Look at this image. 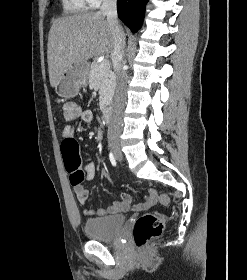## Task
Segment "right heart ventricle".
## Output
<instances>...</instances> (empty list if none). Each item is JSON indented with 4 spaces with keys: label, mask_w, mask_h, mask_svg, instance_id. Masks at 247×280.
Returning <instances> with one entry per match:
<instances>
[{
    "label": "right heart ventricle",
    "mask_w": 247,
    "mask_h": 280,
    "mask_svg": "<svg viewBox=\"0 0 247 280\" xmlns=\"http://www.w3.org/2000/svg\"><path fill=\"white\" fill-rule=\"evenodd\" d=\"M62 5L67 14L86 11L90 6L87 0H62Z\"/></svg>",
    "instance_id": "right-heart-ventricle-1"
}]
</instances>
